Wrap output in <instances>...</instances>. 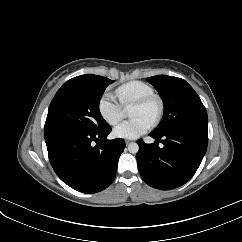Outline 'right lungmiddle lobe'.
Segmentation results:
<instances>
[{
    "instance_id": "right-lung-middle-lobe-1",
    "label": "right lung middle lobe",
    "mask_w": 242,
    "mask_h": 242,
    "mask_svg": "<svg viewBox=\"0 0 242 242\" xmlns=\"http://www.w3.org/2000/svg\"><path fill=\"white\" fill-rule=\"evenodd\" d=\"M113 82L93 74L68 80L49 106L45 131L62 127H81L92 132L108 129L110 125L99 111V101L105 88Z\"/></svg>"
}]
</instances>
